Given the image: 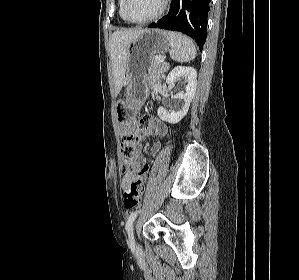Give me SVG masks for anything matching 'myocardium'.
Instances as JSON below:
<instances>
[{
	"label": "myocardium",
	"mask_w": 299,
	"mask_h": 280,
	"mask_svg": "<svg viewBox=\"0 0 299 280\" xmlns=\"http://www.w3.org/2000/svg\"><path fill=\"white\" fill-rule=\"evenodd\" d=\"M169 0H162V4L160 6V8L158 9V11L152 15L151 17L144 19V20H135L133 18H131L128 14V0H123V13L124 16L126 18V20L130 23L133 24H147L150 23L156 19H158L166 10L167 6H168Z\"/></svg>",
	"instance_id": "myocardium-1"
}]
</instances>
